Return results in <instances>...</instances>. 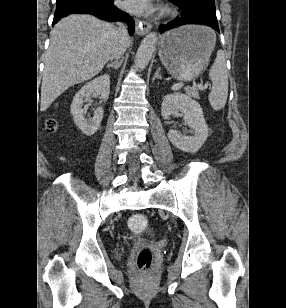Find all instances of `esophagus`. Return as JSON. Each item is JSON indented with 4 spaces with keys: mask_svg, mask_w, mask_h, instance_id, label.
<instances>
[{
    "mask_svg": "<svg viewBox=\"0 0 286 308\" xmlns=\"http://www.w3.org/2000/svg\"><path fill=\"white\" fill-rule=\"evenodd\" d=\"M152 28V24L146 20L136 21V33L137 35L143 36L148 33Z\"/></svg>",
    "mask_w": 286,
    "mask_h": 308,
    "instance_id": "esophagus-1",
    "label": "esophagus"
}]
</instances>
